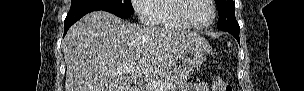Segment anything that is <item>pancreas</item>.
<instances>
[{
  "instance_id": "pancreas-1",
  "label": "pancreas",
  "mask_w": 304,
  "mask_h": 91,
  "mask_svg": "<svg viewBox=\"0 0 304 91\" xmlns=\"http://www.w3.org/2000/svg\"><path fill=\"white\" fill-rule=\"evenodd\" d=\"M191 70L189 69H182V68H173L163 75L159 76L157 80L162 81L163 83L169 84L174 91L182 88L187 80L189 79V74ZM146 91H155V89L151 88L150 86H146Z\"/></svg>"
}]
</instances>
